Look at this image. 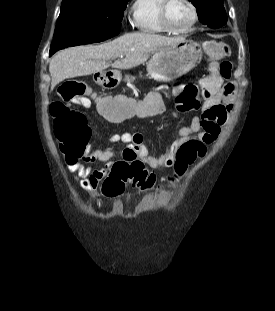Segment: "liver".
<instances>
[{
    "instance_id": "6515ba94",
    "label": "liver",
    "mask_w": 275,
    "mask_h": 311,
    "mask_svg": "<svg viewBox=\"0 0 275 311\" xmlns=\"http://www.w3.org/2000/svg\"><path fill=\"white\" fill-rule=\"evenodd\" d=\"M153 33H127L101 45L78 46L58 52L50 61L51 89L67 78L90 75L106 69L110 59L124 57L113 67L131 69L163 47L182 41Z\"/></svg>"
}]
</instances>
